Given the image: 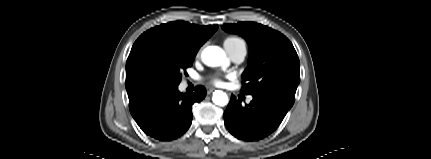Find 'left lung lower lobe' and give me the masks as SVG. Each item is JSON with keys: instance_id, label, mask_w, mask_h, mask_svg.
<instances>
[{"instance_id": "left-lung-lower-lobe-1", "label": "left lung lower lobe", "mask_w": 431, "mask_h": 159, "mask_svg": "<svg viewBox=\"0 0 431 159\" xmlns=\"http://www.w3.org/2000/svg\"><path fill=\"white\" fill-rule=\"evenodd\" d=\"M250 104L242 106L235 96L224 112V122L228 131L244 141H258L275 131L293 101L272 93L252 94Z\"/></svg>"}]
</instances>
